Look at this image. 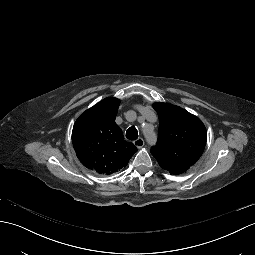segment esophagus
<instances>
[{
	"mask_svg": "<svg viewBox=\"0 0 255 255\" xmlns=\"http://www.w3.org/2000/svg\"><path fill=\"white\" fill-rule=\"evenodd\" d=\"M133 143L137 148H142L144 146V140L142 138L136 139Z\"/></svg>",
	"mask_w": 255,
	"mask_h": 255,
	"instance_id": "1",
	"label": "esophagus"
}]
</instances>
